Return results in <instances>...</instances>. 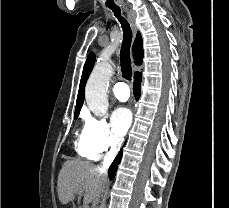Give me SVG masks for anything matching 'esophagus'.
Here are the masks:
<instances>
[{"label": "esophagus", "mask_w": 229, "mask_h": 208, "mask_svg": "<svg viewBox=\"0 0 229 208\" xmlns=\"http://www.w3.org/2000/svg\"><path fill=\"white\" fill-rule=\"evenodd\" d=\"M127 18L129 20L132 32H133V38H135L136 33L138 32V27L135 21V15L132 11L128 10L127 11Z\"/></svg>", "instance_id": "1"}]
</instances>
